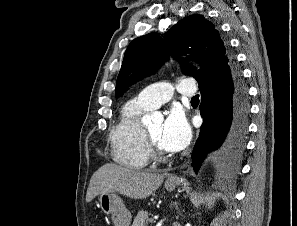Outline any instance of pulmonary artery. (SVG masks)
<instances>
[{
	"label": "pulmonary artery",
	"mask_w": 297,
	"mask_h": 226,
	"mask_svg": "<svg viewBox=\"0 0 297 226\" xmlns=\"http://www.w3.org/2000/svg\"><path fill=\"white\" fill-rule=\"evenodd\" d=\"M177 91L187 98L194 96L196 91L195 80L185 78L176 86ZM174 86L167 82L152 84L144 88L137 96L144 105L150 109H155L168 102L173 95Z\"/></svg>",
	"instance_id": "pulmonary-artery-1"
}]
</instances>
